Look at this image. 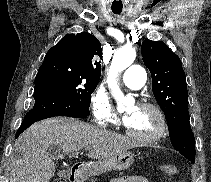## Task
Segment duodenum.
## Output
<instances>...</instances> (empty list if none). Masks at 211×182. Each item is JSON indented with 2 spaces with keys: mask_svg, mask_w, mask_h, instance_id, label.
Listing matches in <instances>:
<instances>
[{
  "mask_svg": "<svg viewBox=\"0 0 211 182\" xmlns=\"http://www.w3.org/2000/svg\"><path fill=\"white\" fill-rule=\"evenodd\" d=\"M70 182H81L82 181V169L81 166H75L71 170Z\"/></svg>",
  "mask_w": 211,
  "mask_h": 182,
  "instance_id": "duodenum-1",
  "label": "duodenum"
}]
</instances>
